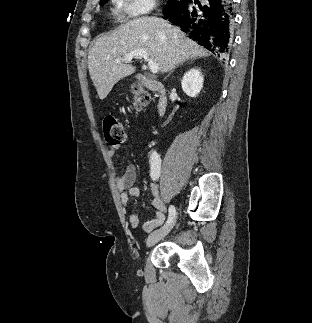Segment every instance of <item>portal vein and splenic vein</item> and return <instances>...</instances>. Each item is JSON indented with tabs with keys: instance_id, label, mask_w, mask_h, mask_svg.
I'll list each match as a JSON object with an SVG mask.
<instances>
[{
	"instance_id": "18ae733b",
	"label": "portal vein and splenic vein",
	"mask_w": 312,
	"mask_h": 323,
	"mask_svg": "<svg viewBox=\"0 0 312 323\" xmlns=\"http://www.w3.org/2000/svg\"><path fill=\"white\" fill-rule=\"evenodd\" d=\"M144 58L146 62H148V66L152 72V74H157L159 70L158 64H155L153 60H149L147 52H144V50H134V52H130V54H126V56H123V58H120V60H115V64H119V62H131L133 58Z\"/></svg>"
}]
</instances>
